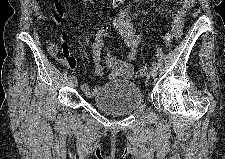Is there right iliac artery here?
I'll list each match as a JSON object with an SVG mask.
<instances>
[{"mask_svg":"<svg viewBox=\"0 0 225 159\" xmlns=\"http://www.w3.org/2000/svg\"><path fill=\"white\" fill-rule=\"evenodd\" d=\"M72 77H73L72 75H69V78L68 79L71 80Z\"/></svg>","mask_w":225,"mask_h":159,"instance_id":"obj_1","label":"right iliac artery"}]
</instances>
